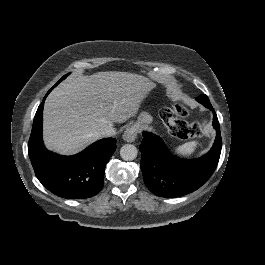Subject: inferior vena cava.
Instances as JSON below:
<instances>
[{"label":"inferior vena cava","instance_id":"602c4592","mask_svg":"<svg viewBox=\"0 0 265 265\" xmlns=\"http://www.w3.org/2000/svg\"><path fill=\"white\" fill-rule=\"evenodd\" d=\"M115 134H116V131L112 125L107 126L103 131V135L105 137H111V136H114Z\"/></svg>","mask_w":265,"mask_h":265}]
</instances>
